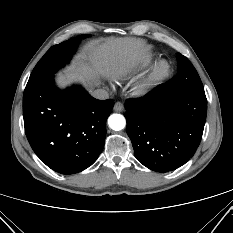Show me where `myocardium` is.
<instances>
[{
    "mask_svg": "<svg viewBox=\"0 0 233 233\" xmlns=\"http://www.w3.org/2000/svg\"><path fill=\"white\" fill-rule=\"evenodd\" d=\"M171 67L170 64L162 60L159 62L153 76L149 80V82L142 83L136 87V92L139 94H144L150 90V86L152 83H156L164 78H166L170 73Z\"/></svg>",
    "mask_w": 233,
    "mask_h": 233,
    "instance_id": "1",
    "label": "myocardium"
}]
</instances>
